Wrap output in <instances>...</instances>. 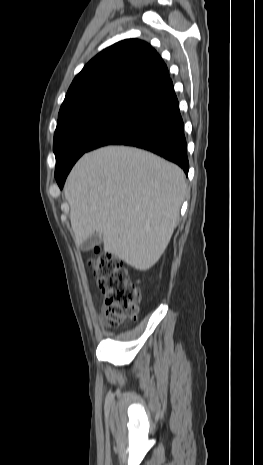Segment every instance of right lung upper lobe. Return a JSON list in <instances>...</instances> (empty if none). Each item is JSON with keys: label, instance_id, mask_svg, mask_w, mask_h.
Masks as SVG:
<instances>
[{"label": "right lung upper lobe", "instance_id": "right-lung-upper-lobe-1", "mask_svg": "<svg viewBox=\"0 0 263 465\" xmlns=\"http://www.w3.org/2000/svg\"><path fill=\"white\" fill-rule=\"evenodd\" d=\"M169 78L166 64L151 45L138 39L123 40L84 66L69 87L59 114L96 98H138Z\"/></svg>", "mask_w": 263, "mask_h": 465}]
</instances>
